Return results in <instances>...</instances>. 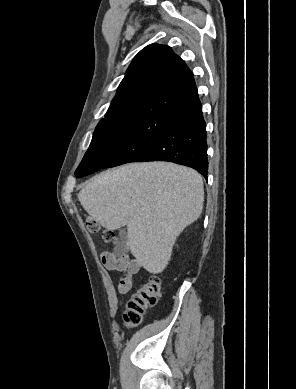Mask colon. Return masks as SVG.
Here are the masks:
<instances>
[{
	"label": "colon",
	"mask_w": 296,
	"mask_h": 389,
	"mask_svg": "<svg viewBox=\"0 0 296 389\" xmlns=\"http://www.w3.org/2000/svg\"><path fill=\"white\" fill-rule=\"evenodd\" d=\"M86 225L91 233H100L105 242L117 243L118 237L114 231L102 228L94 219L89 218ZM107 261L109 264L113 263L112 258H107ZM161 292V281L158 277H152L140 284L127 301L125 323L130 327L137 326L145 312L157 304Z\"/></svg>",
	"instance_id": "1"
}]
</instances>
